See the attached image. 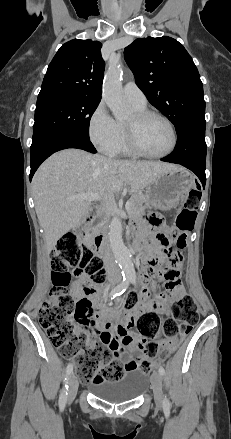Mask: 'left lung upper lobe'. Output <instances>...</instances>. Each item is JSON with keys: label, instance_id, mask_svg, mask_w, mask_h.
I'll use <instances>...</instances> for the list:
<instances>
[{"label": "left lung upper lobe", "instance_id": "1", "mask_svg": "<svg viewBox=\"0 0 231 439\" xmlns=\"http://www.w3.org/2000/svg\"><path fill=\"white\" fill-rule=\"evenodd\" d=\"M137 86L175 126L177 135L205 121L203 84L186 49L168 37L139 38L124 50Z\"/></svg>", "mask_w": 231, "mask_h": 439}]
</instances>
